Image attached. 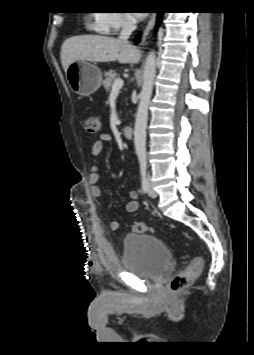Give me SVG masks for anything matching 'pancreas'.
I'll return each mask as SVG.
<instances>
[{
	"label": "pancreas",
	"instance_id": "1",
	"mask_svg": "<svg viewBox=\"0 0 254 355\" xmlns=\"http://www.w3.org/2000/svg\"><path fill=\"white\" fill-rule=\"evenodd\" d=\"M104 76L105 79L102 81V84L106 91H110L114 81L118 78V74L115 71L110 70L106 72Z\"/></svg>",
	"mask_w": 254,
	"mask_h": 355
}]
</instances>
